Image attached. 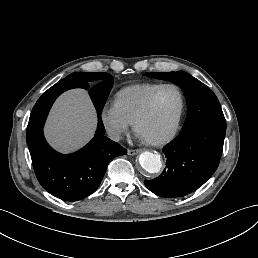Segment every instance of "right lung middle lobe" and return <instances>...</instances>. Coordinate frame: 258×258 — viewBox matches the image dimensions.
Here are the masks:
<instances>
[{"label":"right lung middle lobe","instance_id":"obj_1","mask_svg":"<svg viewBox=\"0 0 258 258\" xmlns=\"http://www.w3.org/2000/svg\"><path fill=\"white\" fill-rule=\"evenodd\" d=\"M68 77H76L85 81H95L100 80V84L96 87L93 103L96 108L97 114L101 115L103 106L106 102V99L110 93V90L113 85V78L110 74L104 72H95V73H87V72H74ZM92 99V98H91Z\"/></svg>","mask_w":258,"mask_h":258}]
</instances>
